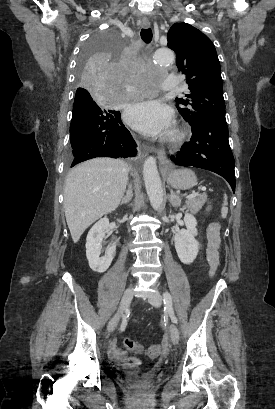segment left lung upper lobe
<instances>
[{"label":"left lung upper lobe","instance_id":"1","mask_svg":"<svg viewBox=\"0 0 275 409\" xmlns=\"http://www.w3.org/2000/svg\"><path fill=\"white\" fill-rule=\"evenodd\" d=\"M167 40L191 91L186 98H176L179 113L190 125L207 118L226 120L220 63L211 40L187 23H174Z\"/></svg>","mask_w":275,"mask_h":409}]
</instances>
